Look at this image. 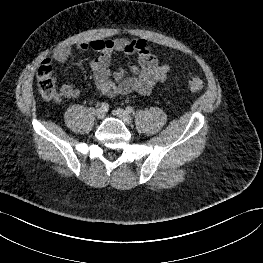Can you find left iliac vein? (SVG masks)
Wrapping results in <instances>:
<instances>
[{"instance_id":"left-iliac-vein-1","label":"left iliac vein","mask_w":263,"mask_h":263,"mask_svg":"<svg viewBox=\"0 0 263 263\" xmlns=\"http://www.w3.org/2000/svg\"><path fill=\"white\" fill-rule=\"evenodd\" d=\"M114 114L121 119L126 125H130L131 124V117L129 115V113L123 109H116L114 111Z\"/></svg>"}]
</instances>
